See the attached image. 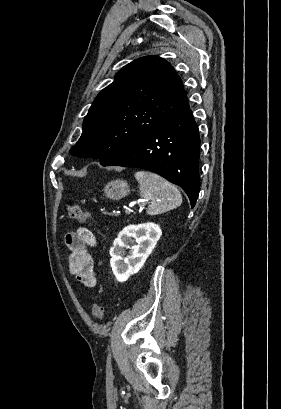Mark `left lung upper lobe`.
Wrapping results in <instances>:
<instances>
[{
  "mask_svg": "<svg viewBox=\"0 0 281 409\" xmlns=\"http://www.w3.org/2000/svg\"><path fill=\"white\" fill-rule=\"evenodd\" d=\"M186 102L181 79L167 61L157 56L138 58L95 98L70 152L100 158L105 166Z\"/></svg>",
  "mask_w": 281,
  "mask_h": 409,
  "instance_id": "left-lung-upper-lobe-1",
  "label": "left lung upper lobe"
}]
</instances>
